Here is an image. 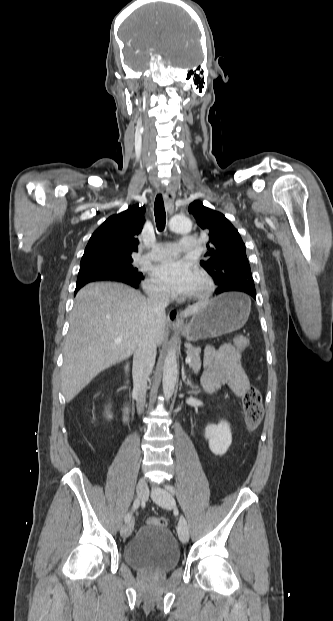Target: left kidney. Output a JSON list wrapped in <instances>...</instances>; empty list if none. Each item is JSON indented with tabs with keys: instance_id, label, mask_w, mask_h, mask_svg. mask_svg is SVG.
Here are the masks:
<instances>
[{
	"instance_id": "obj_1",
	"label": "left kidney",
	"mask_w": 333,
	"mask_h": 621,
	"mask_svg": "<svg viewBox=\"0 0 333 621\" xmlns=\"http://www.w3.org/2000/svg\"><path fill=\"white\" fill-rule=\"evenodd\" d=\"M205 438L209 440V448L212 453L224 455L232 444L230 425L226 421L208 424L205 428Z\"/></svg>"
}]
</instances>
